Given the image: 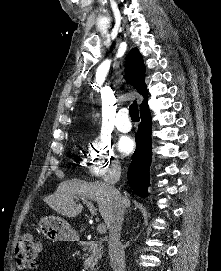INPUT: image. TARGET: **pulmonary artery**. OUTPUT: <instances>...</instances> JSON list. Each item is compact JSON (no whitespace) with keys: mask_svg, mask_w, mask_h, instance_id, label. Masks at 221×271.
Masks as SVG:
<instances>
[{"mask_svg":"<svg viewBox=\"0 0 221 271\" xmlns=\"http://www.w3.org/2000/svg\"><path fill=\"white\" fill-rule=\"evenodd\" d=\"M112 116L114 117V122L117 125V128L121 132H128L129 128L122 126H130L131 117H128V112H113Z\"/></svg>","mask_w":221,"mask_h":271,"instance_id":"e3ab8cb5","label":"pulmonary artery"}]
</instances>
